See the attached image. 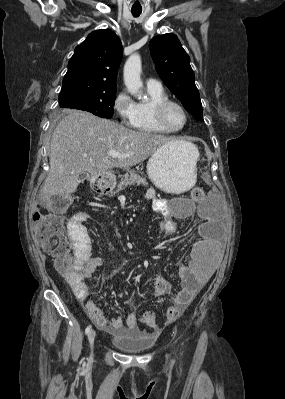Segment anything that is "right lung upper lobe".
<instances>
[{"label":"right lung upper lobe","instance_id":"obj_1","mask_svg":"<svg viewBox=\"0 0 285 399\" xmlns=\"http://www.w3.org/2000/svg\"><path fill=\"white\" fill-rule=\"evenodd\" d=\"M122 53L121 41L113 31H93L75 48L60 94L75 91H116Z\"/></svg>","mask_w":285,"mask_h":399}]
</instances>
